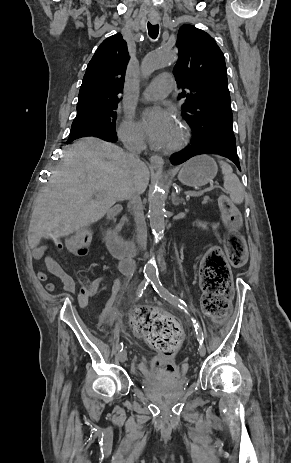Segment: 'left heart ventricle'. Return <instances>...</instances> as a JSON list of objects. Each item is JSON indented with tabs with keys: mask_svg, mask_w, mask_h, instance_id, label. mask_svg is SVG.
Listing matches in <instances>:
<instances>
[{
	"mask_svg": "<svg viewBox=\"0 0 291 463\" xmlns=\"http://www.w3.org/2000/svg\"><path fill=\"white\" fill-rule=\"evenodd\" d=\"M177 134H178V131H177V129H176V131H175V133H174L173 137L171 138V140H170V142H169L168 145H170L171 143H173V142L176 140Z\"/></svg>",
	"mask_w": 291,
	"mask_h": 463,
	"instance_id": "obj_1",
	"label": "left heart ventricle"
}]
</instances>
